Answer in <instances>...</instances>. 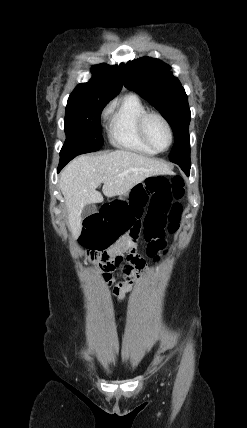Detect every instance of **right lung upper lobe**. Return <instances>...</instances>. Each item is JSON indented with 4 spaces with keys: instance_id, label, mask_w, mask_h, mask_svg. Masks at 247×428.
I'll list each match as a JSON object with an SVG mask.
<instances>
[{
    "instance_id": "right-lung-upper-lobe-1",
    "label": "right lung upper lobe",
    "mask_w": 247,
    "mask_h": 428,
    "mask_svg": "<svg viewBox=\"0 0 247 428\" xmlns=\"http://www.w3.org/2000/svg\"><path fill=\"white\" fill-rule=\"evenodd\" d=\"M91 72V80L79 84L71 95H90L110 101L120 92L122 82L116 65L109 67L107 64H99Z\"/></svg>"
}]
</instances>
